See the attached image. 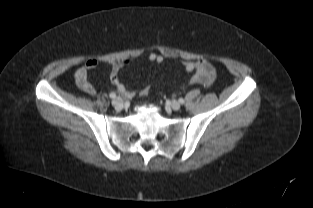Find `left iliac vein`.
Listing matches in <instances>:
<instances>
[{
    "mask_svg": "<svg viewBox=\"0 0 313 208\" xmlns=\"http://www.w3.org/2000/svg\"><path fill=\"white\" fill-rule=\"evenodd\" d=\"M181 107V104L178 101H172L171 102V108L173 110H179Z\"/></svg>",
    "mask_w": 313,
    "mask_h": 208,
    "instance_id": "4c4485c4",
    "label": "left iliac vein"
}]
</instances>
